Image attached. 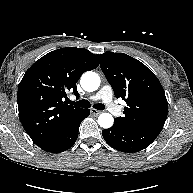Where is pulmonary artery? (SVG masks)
<instances>
[{
    "label": "pulmonary artery",
    "instance_id": "1",
    "mask_svg": "<svg viewBox=\"0 0 193 193\" xmlns=\"http://www.w3.org/2000/svg\"><path fill=\"white\" fill-rule=\"evenodd\" d=\"M91 99L102 100L112 114H120L119 107L113 102V91L109 85L103 86L96 95L91 97Z\"/></svg>",
    "mask_w": 193,
    "mask_h": 193
}]
</instances>
